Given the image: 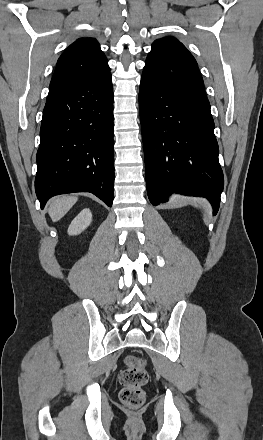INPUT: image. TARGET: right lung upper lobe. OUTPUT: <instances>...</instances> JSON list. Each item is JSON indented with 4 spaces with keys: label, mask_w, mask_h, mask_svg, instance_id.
<instances>
[{
    "label": "right lung upper lobe",
    "mask_w": 263,
    "mask_h": 440,
    "mask_svg": "<svg viewBox=\"0 0 263 440\" xmlns=\"http://www.w3.org/2000/svg\"><path fill=\"white\" fill-rule=\"evenodd\" d=\"M110 72L107 58L94 38H80L58 59L49 94L73 87ZM48 94V95H49Z\"/></svg>",
    "instance_id": "right-lung-upper-lobe-1"
}]
</instances>
